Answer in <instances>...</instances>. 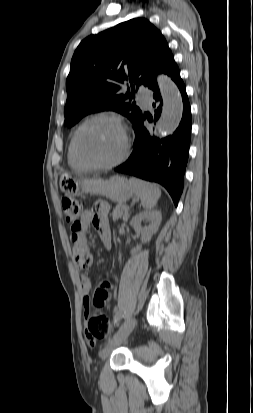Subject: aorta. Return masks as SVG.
Instances as JSON below:
<instances>
[{
	"mask_svg": "<svg viewBox=\"0 0 253 413\" xmlns=\"http://www.w3.org/2000/svg\"><path fill=\"white\" fill-rule=\"evenodd\" d=\"M157 82L163 99L158 136L164 137L173 133L178 127L183 114V102L178 87L168 76H159Z\"/></svg>",
	"mask_w": 253,
	"mask_h": 413,
	"instance_id": "aorta-1",
	"label": "aorta"
}]
</instances>
